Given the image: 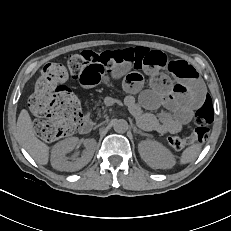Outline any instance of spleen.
<instances>
[{"label": "spleen", "mask_w": 231, "mask_h": 231, "mask_svg": "<svg viewBox=\"0 0 231 231\" xmlns=\"http://www.w3.org/2000/svg\"><path fill=\"white\" fill-rule=\"evenodd\" d=\"M202 145L197 143L187 147L181 154L180 164H187L193 161L200 153Z\"/></svg>", "instance_id": "3e777b00"}]
</instances>
